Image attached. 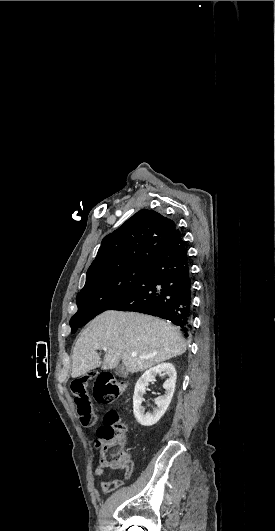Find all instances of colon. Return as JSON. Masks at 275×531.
Masks as SVG:
<instances>
[{
    "label": "colon",
    "instance_id": "colon-1",
    "mask_svg": "<svg viewBox=\"0 0 275 531\" xmlns=\"http://www.w3.org/2000/svg\"><path fill=\"white\" fill-rule=\"evenodd\" d=\"M92 378L93 385V399L98 404L111 403L115 401L127 389V382L119 377L112 375L109 371L101 369L97 374L83 373L80 376H75L68 384V389L72 392V401L77 407V423L86 424L92 423L93 407L89 395L92 394ZM89 417V423H88ZM97 437L99 443L104 445V460L107 469L118 468L121 466L124 454V446L128 444L129 437L127 427L120 421V415L116 410H109L105 412L102 418L100 427H97ZM130 469L127 467L125 471V478L130 476ZM112 488L122 486L123 481L120 479H112L108 482Z\"/></svg>",
    "mask_w": 275,
    "mask_h": 531
}]
</instances>
